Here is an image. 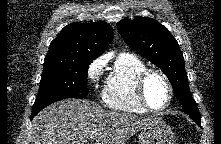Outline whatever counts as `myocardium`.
<instances>
[{
    "instance_id": "obj_1",
    "label": "myocardium",
    "mask_w": 221,
    "mask_h": 144,
    "mask_svg": "<svg viewBox=\"0 0 221 144\" xmlns=\"http://www.w3.org/2000/svg\"><path fill=\"white\" fill-rule=\"evenodd\" d=\"M153 74L159 75L164 80L168 88L167 102L161 108L151 107L149 103L147 102L146 95H145V85H146L147 79ZM135 93H136V98L139 104L146 111L152 112V113H160V112L165 111L171 105L173 96H174V89H173V86L169 77L162 70L157 69V68H146L143 71H141L135 79Z\"/></svg>"
}]
</instances>
